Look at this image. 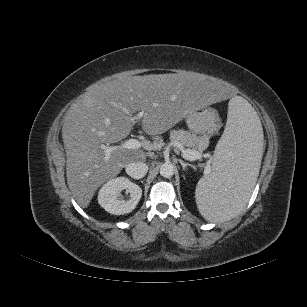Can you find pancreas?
I'll return each mask as SVG.
<instances>
[{"label": "pancreas", "mask_w": 307, "mask_h": 307, "mask_svg": "<svg viewBox=\"0 0 307 307\" xmlns=\"http://www.w3.org/2000/svg\"><path fill=\"white\" fill-rule=\"evenodd\" d=\"M170 140L172 142H178L181 145L196 151H203L207 147V138L204 136H198L190 131L186 130H171Z\"/></svg>", "instance_id": "obj_1"}]
</instances>
